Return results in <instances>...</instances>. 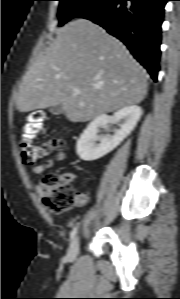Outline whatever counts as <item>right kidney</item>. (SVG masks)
Masks as SVG:
<instances>
[{
	"mask_svg": "<svg viewBox=\"0 0 180 299\" xmlns=\"http://www.w3.org/2000/svg\"><path fill=\"white\" fill-rule=\"evenodd\" d=\"M141 116L142 109L137 105L121 108L112 117L99 115L87 126L77 141L78 156L84 161H93L111 152L131 133ZM119 121H123V124L113 135H97L99 128ZM97 141L100 143L97 144Z\"/></svg>",
	"mask_w": 180,
	"mask_h": 299,
	"instance_id": "ca27d5eb",
	"label": "right kidney"
}]
</instances>
